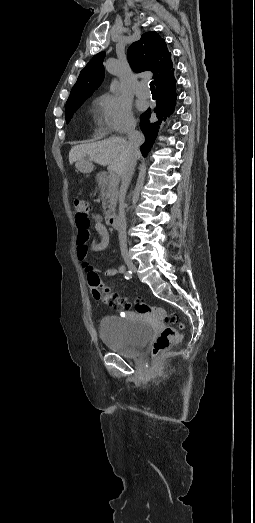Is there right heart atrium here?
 I'll list each match as a JSON object with an SVG mask.
<instances>
[{"label": "right heart atrium", "instance_id": "right-heart-atrium-1", "mask_svg": "<svg viewBox=\"0 0 255 523\" xmlns=\"http://www.w3.org/2000/svg\"><path fill=\"white\" fill-rule=\"evenodd\" d=\"M99 104L106 117V129L112 133H128L135 127V118L129 103L118 96L103 94Z\"/></svg>", "mask_w": 255, "mask_h": 523}]
</instances>
